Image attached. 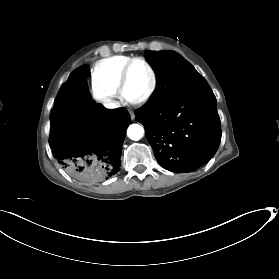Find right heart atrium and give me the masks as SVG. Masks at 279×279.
<instances>
[{"instance_id":"1","label":"right heart atrium","mask_w":279,"mask_h":279,"mask_svg":"<svg viewBox=\"0 0 279 279\" xmlns=\"http://www.w3.org/2000/svg\"><path fill=\"white\" fill-rule=\"evenodd\" d=\"M93 98L105 108H111L113 106L114 95L107 91L100 85L92 86Z\"/></svg>"}]
</instances>
